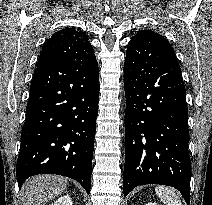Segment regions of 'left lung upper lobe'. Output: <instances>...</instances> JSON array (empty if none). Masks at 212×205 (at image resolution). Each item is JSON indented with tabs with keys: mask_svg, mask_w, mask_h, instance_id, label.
<instances>
[{
	"mask_svg": "<svg viewBox=\"0 0 212 205\" xmlns=\"http://www.w3.org/2000/svg\"><path fill=\"white\" fill-rule=\"evenodd\" d=\"M154 33H156V32H154L152 30H141L133 37V39L144 38L145 36H148V35L154 34Z\"/></svg>",
	"mask_w": 212,
	"mask_h": 205,
	"instance_id": "left-lung-upper-lobe-1",
	"label": "left lung upper lobe"
}]
</instances>
